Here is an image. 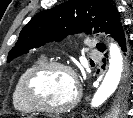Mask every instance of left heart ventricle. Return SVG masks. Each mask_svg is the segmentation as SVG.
Listing matches in <instances>:
<instances>
[{
	"label": "left heart ventricle",
	"instance_id": "b2bd125f",
	"mask_svg": "<svg viewBox=\"0 0 133 118\" xmlns=\"http://www.w3.org/2000/svg\"><path fill=\"white\" fill-rule=\"evenodd\" d=\"M36 94L48 106L66 105L75 96L74 81L67 71L60 69L47 71L37 81Z\"/></svg>",
	"mask_w": 133,
	"mask_h": 118
}]
</instances>
